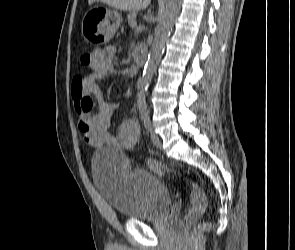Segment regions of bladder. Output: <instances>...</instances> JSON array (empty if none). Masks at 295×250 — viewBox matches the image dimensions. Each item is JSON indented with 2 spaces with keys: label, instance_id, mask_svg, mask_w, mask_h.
Returning <instances> with one entry per match:
<instances>
[{
  "label": "bladder",
  "instance_id": "31cf9c89",
  "mask_svg": "<svg viewBox=\"0 0 295 250\" xmlns=\"http://www.w3.org/2000/svg\"><path fill=\"white\" fill-rule=\"evenodd\" d=\"M92 176L103 199L130 220H156L171 202L169 188L153 175L132 165L115 148H101L91 157Z\"/></svg>",
  "mask_w": 295,
  "mask_h": 250
}]
</instances>
